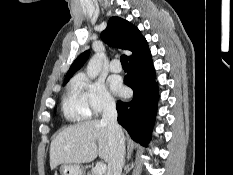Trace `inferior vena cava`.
<instances>
[{
  "mask_svg": "<svg viewBox=\"0 0 233 175\" xmlns=\"http://www.w3.org/2000/svg\"><path fill=\"white\" fill-rule=\"evenodd\" d=\"M101 123L108 126L111 139V156L108 162L107 175H121L125 154V139L122 128L117 122L116 103L113 99L106 100Z\"/></svg>",
  "mask_w": 233,
  "mask_h": 175,
  "instance_id": "obj_1",
  "label": "inferior vena cava"
}]
</instances>
